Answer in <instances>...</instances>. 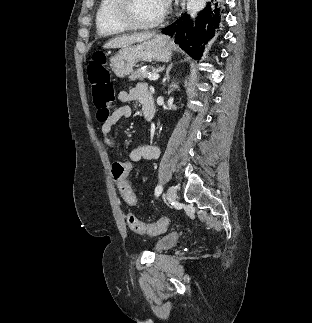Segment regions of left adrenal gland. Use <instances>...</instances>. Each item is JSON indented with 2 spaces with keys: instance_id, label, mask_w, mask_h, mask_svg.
<instances>
[{
  "instance_id": "left-adrenal-gland-1",
  "label": "left adrenal gland",
  "mask_w": 312,
  "mask_h": 323,
  "mask_svg": "<svg viewBox=\"0 0 312 323\" xmlns=\"http://www.w3.org/2000/svg\"><path fill=\"white\" fill-rule=\"evenodd\" d=\"M172 66H173V64H169V66H168V68L166 70L163 86H166L165 82H169V80H170L169 72H170Z\"/></svg>"
}]
</instances>
